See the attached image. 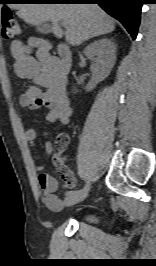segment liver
I'll return each instance as SVG.
<instances>
[{
  "label": "liver",
  "instance_id": "liver-1",
  "mask_svg": "<svg viewBox=\"0 0 156 266\" xmlns=\"http://www.w3.org/2000/svg\"><path fill=\"white\" fill-rule=\"evenodd\" d=\"M10 7L30 25L50 21L53 34L57 38L65 36L72 46L115 29L114 20L94 4H12ZM59 22L65 23V32Z\"/></svg>",
  "mask_w": 156,
  "mask_h": 266
}]
</instances>
